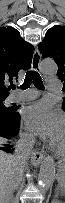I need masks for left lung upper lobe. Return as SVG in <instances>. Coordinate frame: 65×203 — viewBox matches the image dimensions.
<instances>
[{
	"label": "left lung upper lobe",
	"mask_w": 65,
	"mask_h": 203,
	"mask_svg": "<svg viewBox=\"0 0 65 203\" xmlns=\"http://www.w3.org/2000/svg\"><path fill=\"white\" fill-rule=\"evenodd\" d=\"M43 57L53 58L58 65V77L64 81L65 92V26L55 25L50 28L43 41L38 45ZM63 110L65 111V97L63 98Z\"/></svg>",
	"instance_id": "5c2ea615"
}]
</instances>
